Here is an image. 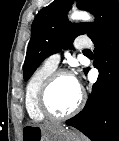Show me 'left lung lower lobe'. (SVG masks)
<instances>
[{"label":"left lung lower lobe","mask_w":119,"mask_h":141,"mask_svg":"<svg viewBox=\"0 0 119 141\" xmlns=\"http://www.w3.org/2000/svg\"><path fill=\"white\" fill-rule=\"evenodd\" d=\"M90 39L99 76L83 110L66 124L92 141H119V9Z\"/></svg>","instance_id":"0a47b994"}]
</instances>
